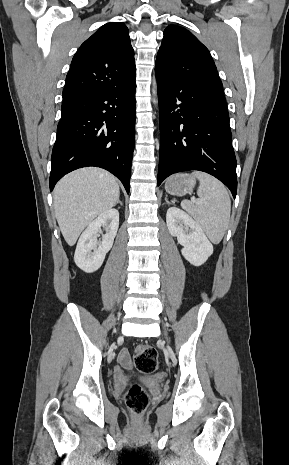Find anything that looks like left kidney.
Returning a JSON list of instances; mask_svg holds the SVG:
<instances>
[{
  "mask_svg": "<svg viewBox=\"0 0 289 465\" xmlns=\"http://www.w3.org/2000/svg\"><path fill=\"white\" fill-rule=\"evenodd\" d=\"M166 223L172 236L183 246L181 253L194 266H201L213 254V246L199 224L177 207H170Z\"/></svg>",
  "mask_w": 289,
  "mask_h": 465,
  "instance_id": "left-kidney-1",
  "label": "left kidney"
}]
</instances>
